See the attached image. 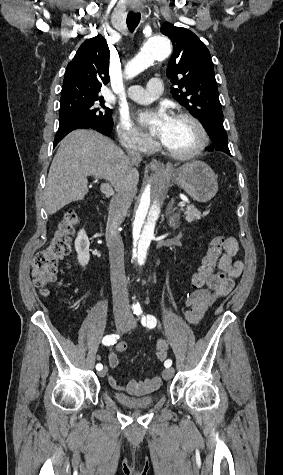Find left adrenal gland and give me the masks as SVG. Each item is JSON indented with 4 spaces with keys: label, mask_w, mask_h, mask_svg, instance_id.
Returning <instances> with one entry per match:
<instances>
[{
    "label": "left adrenal gland",
    "mask_w": 283,
    "mask_h": 475,
    "mask_svg": "<svg viewBox=\"0 0 283 475\" xmlns=\"http://www.w3.org/2000/svg\"><path fill=\"white\" fill-rule=\"evenodd\" d=\"M173 204L174 202H170V204H168L166 216L168 218L170 228L176 230V228H179L180 212H176V214H174L176 208H173Z\"/></svg>",
    "instance_id": "left-adrenal-gland-1"
}]
</instances>
